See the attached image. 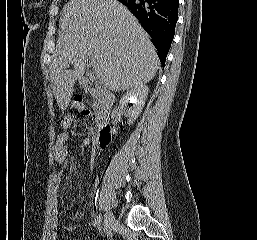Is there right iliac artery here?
I'll use <instances>...</instances> for the list:
<instances>
[{
    "label": "right iliac artery",
    "instance_id": "obj_1",
    "mask_svg": "<svg viewBox=\"0 0 257 240\" xmlns=\"http://www.w3.org/2000/svg\"><path fill=\"white\" fill-rule=\"evenodd\" d=\"M102 216L99 214V215H97L96 216V224L98 225V226H100V224L102 223Z\"/></svg>",
    "mask_w": 257,
    "mask_h": 240
}]
</instances>
